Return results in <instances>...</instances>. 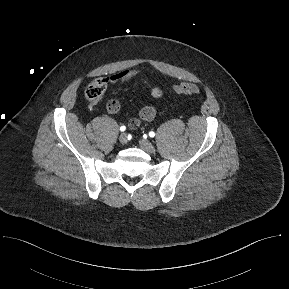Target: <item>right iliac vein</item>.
Listing matches in <instances>:
<instances>
[{
	"label": "right iliac vein",
	"instance_id": "right-iliac-vein-1",
	"mask_svg": "<svg viewBox=\"0 0 289 289\" xmlns=\"http://www.w3.org/2000/svg\"><path fill=\"white\" fill-rule=\"evenodd\" d=\"M119 142L121 144H126L127 143V134L126 133H122L120 136H119Z\"/></svg>",
	"mask_w": 289,
	"mask_h": 289
}]
</instances>
